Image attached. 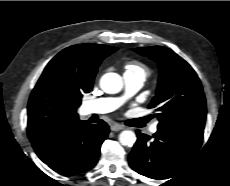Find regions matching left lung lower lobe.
Here are the masks:
<instances>
[{
  "instance_id": "1",
  "label": "left lung lower lobe",
  "mask_w": 230,
  "mask_h": 186,
  "mask_svg": "<svg viewBox=\"0 0 230 186\" xmlns=\"http://www.w3.org/2000/svg\"><path fill=\"white\" fill-rule=\"evenodd\" d=\"M137 142L129 155L130 167L153 179H168L185 167L198 152L203 130L158 127L150 136L137 130Z\"/></svg>"
}]
</instances>
